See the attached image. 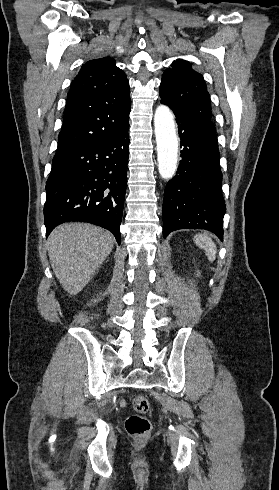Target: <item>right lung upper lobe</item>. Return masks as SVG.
I'll use <instances>...</instances> for the list:
<instances>
[{
    "label": "right lung upper lobe",
    "instance_id": "right-lung-upper-lobe-1",
    "mask_svg": "<svg viewBox=\"0 0 279 490\" xmlns=\"http://www.w3.org/2000/svg\"><path fill=\"white\" fill-rule=\"evenodd\" d=\"M130 88L111 57L82 65L70 85L54 158L97 143L129 125Z\"/></svg>",
    "mask_w": 279,
    "mask_h": 490
}]
</instances>
